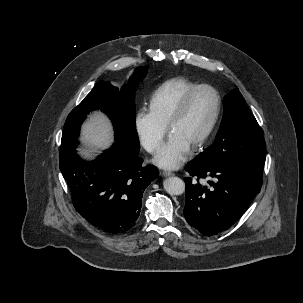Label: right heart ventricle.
Returning a JSON list of instances; mask_svg holds the SVG:
<instances>
[{
	"label": "right heart ventricle",
	"mask_w": 303,
	"mask_h": 303,
	"mask_svg": "<svg viewBox=\"0 0 303 303\" xmlns=\"http://www.w3.org/2000/svg\"><path fill=\"white\" fill-rule=\"evenodd\" d=\"M199 84L185 77H174L163 82L151 95L149 108L167 126L172 114L185 94Z\"/></svg>",
	"instance_id": "right-heart-ventricle-1"
}]
</instances>
